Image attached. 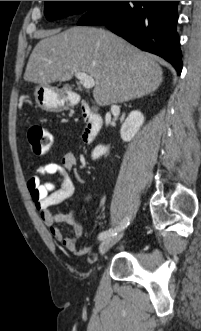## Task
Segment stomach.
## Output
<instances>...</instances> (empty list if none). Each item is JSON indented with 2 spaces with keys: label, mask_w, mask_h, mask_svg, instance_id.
I'll return each instance as SVG.
<instances>
[{
  "label": "stomach",
  "mask_w": 201,
  "mask_h": 331,
  "mask_svg": "<svg viewBox=\"0 0 201 331\" xmlns=\"http://www.w3.org/2000/svg\"><path fill=\"white\" fill-rule=\"evenodd\" d=\"M35 102L43 110L59 111L67 107L66 100L49 86H37L34 91Z\"/></svg>",
  "instance_id": "stomach-1"
}]
</instances>
